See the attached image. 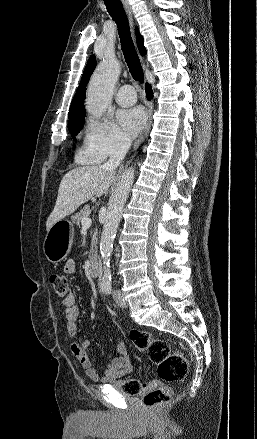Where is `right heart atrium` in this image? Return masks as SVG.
Returning <instances> with one entry per match:
<instances>
[{
  "instance_id": "d8ad5b80",
  "label": "right heart atrium",
  "mask_w": 257,
  "mask_h": 439,
  "mask_svg": "<svg viewBox=\"0 0 257 439\" xmlns=\"http://www.w3.org/2000/svg\"><path fill=\"white\" fill-rule=\"evenodd\" d=\"M128 139L111 119L89 118L83 130V146L79 159L87 163H101L125 151Z\"/></svg>"
}]
</instances>
